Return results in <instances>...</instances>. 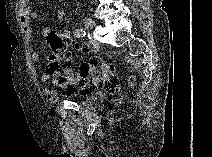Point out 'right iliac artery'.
<instances>
[{
    "instance_id": "1",
    "label": "right iliac artery",
    "mask_w": 212,
    "mask_h": 157,
    "mask_svg": "<svg viewBox=\"0 0 212 157\" xmlns=\"http://www.w3.org/2000/svg\"><path fill=\"white\" fill-rule=\"evenodd\" d=\"M74 36L77 38L85 37L86 36V31L83 29H76L74 31Z\"/></svg>"
}]
</instances>
